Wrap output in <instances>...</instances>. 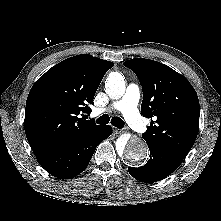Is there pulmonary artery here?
Segmentation results:
<instances>
[{"label":"pulmonary artery","mask_w":221,"mask_h":221,"mask_svg":"<svg viewBox=\"0 0 221 221\" xmlns=\"http://www.w3.org/2000/svg\"><path fill=\"white\" fill-rule=\"evenodd\" d=\"M140 99V89L135 83H130L124 95L111 103L107 108H99L98 113H102L109 109H116L124 115L126 121L131 127L139 133H144L147 130L144 119L139 114L137 105Z\"/></svg>","instance_id":"e3ab8cb5"}]
</instances>
